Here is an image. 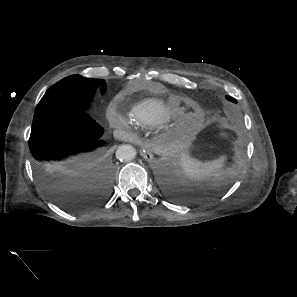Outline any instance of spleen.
Instances as JSON below:
<instances>
[{
    "mask_svg": "<svg viewBox=\"0 0 297 297\" xmlns=\"http://www.w3.org/2000/svg\"><path fill=\"white\" fill-rule=\"evenodd\" d=\"M181 167L187 177L194 181H207L216 179L222 174L224 157L213 161L201 162L188 154H182Z\"/></svg>",
    "mask_w": 297,
    "mask_h": 297,
    "instance_id": "3e777b00",
    "label": "spleen"
}]
</instances>
